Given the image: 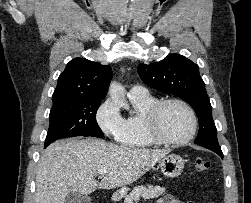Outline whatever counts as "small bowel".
Returning <instances> with one entry per match:
<instances>
[{"mask_svg":"<svg viewBox=\"0 0 251 203\" xmlns=\"http://www.w3.org/2000/svg\"><path fill=\"white\" fill-rule=\"evenodd\" d=\"M157 203H183V202L172 195H166L159 198Z\"/></svg>","mask_w":251,"mask_h":203,"instance_id":"obj_1","label":"small bowel"}]
</instances>
